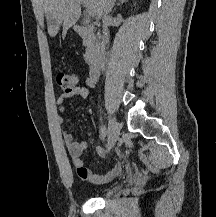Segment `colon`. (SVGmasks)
Masks as SVG:
<instances>
[{
	"instance_id": "colon-1",
	"label": "colon",
	"mask_w": 216,
	"mask_h": 217,
	"mask_svg": "<svg viewBox=\"0 0 216 217\" xmlns=\"http://www.w3.org/2000/svg\"><path fill=\"white\" fill-rule=\"evenodd\" d=\"M56 81L63 90L69 91L77 86L78 75L75 72L61 70L56 74Z\"/></svg>"
}]
</instances>
